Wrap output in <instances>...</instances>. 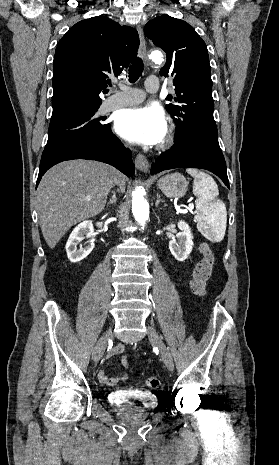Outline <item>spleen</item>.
<instances>
[{
	"label": "spleen",
	"mask_w": 279,
	"mask_h": 465,
	"mask_svg": "<svg viewBox=\"0 0 279 465\" xmlns=\"http://www.w3.org/2000/svg\"><path fill=\"white\" fill-rule=\"evenodd\" d=\"M187 173L194 177L197 228L212 241L220 242L226 231L227 210L222 201L216 200L219 194L218 186L210 175L202 171L187 169Z\"/></svg>",
	"instance_id": "1"
}]
</instances>
